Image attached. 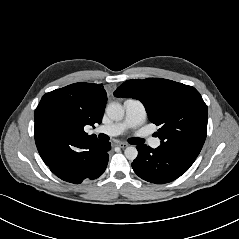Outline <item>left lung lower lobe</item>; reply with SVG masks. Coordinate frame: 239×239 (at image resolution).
<instances>
[{"mask_svg": "<svg viewBox=\"0 0 239 239\" xmlns=\"http://www.w3.org/2000/svg\"><path fill=\"white\" fill-rule=\"evenodd\" d=\"M136 148L138 156L132 168L140 178L151 183L163 184L177 179L197 158L166 145L152 149L144 144Z\"/></svg>", "mask_w": 239, "mask_h": 239, "instance_id": "1", "label": "left lung lower lobe"}]
</instances>
